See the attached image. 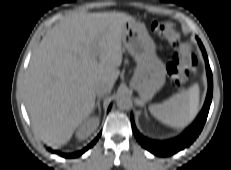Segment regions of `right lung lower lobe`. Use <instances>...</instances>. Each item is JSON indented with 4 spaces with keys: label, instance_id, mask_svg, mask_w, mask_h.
Wrapping results in <instances>:
<instances>
[{
    "label": "right lung lower lobe",
    "instance_id": "obj_1",
    "mask_svg": "<svg viewBox=\"0 0 231 170\" xmlns=\"http://www.w3.org/2000/svg\"><path fill=\"white\" fill-rule=\"evenodd\" d=\"M99 137V136H98ZM98 137H96L87 147H85L83 150L77 152V153H71V154H61L62 157H65V158H74V157H77L81 154H83L85 151H87L89 148H91L95 143L96 141L98 140ZM54 153H57V151H54Z\"/></svg>",
    "mask_w": 231,
    "mask_h": 170
}]
</instances>
